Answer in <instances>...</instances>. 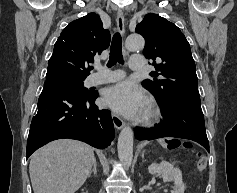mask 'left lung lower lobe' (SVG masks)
<instances>
[{
  "label": "left lung lower lobe",
  "mask_w": 237,
  "mask_h": 193,
  "mask_svg": "<svg viewBox=\"0 0 237 193\" xmlns=\"http://www.w3.org/2000/svg\"><path fill=\"white\" fill-rule=\"evenodd\" d=\"M161 106V105H160ZM160 124L155 128H135L137 140H153L163 137L189 139L209 151L204 116L198 103H182L176 107H164Z\"/></svg>",
  "instance_id": "1"
}]
</instances>
